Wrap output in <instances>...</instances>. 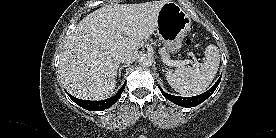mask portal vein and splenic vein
<instances>
[{"instance_id":"1","label":"portal vein and splenic vein","mask_w":276,"mask_h":138,"mask_svg":"<svg viewBox=\"0 0 276 138\" xmlns=\"http://www.w3.org/2000/svg\"><path fill=\"white\" fill-rule=\"evenodd\" d=\"M162 61H163L166 65H168V66H183V65L192 63L191 60L173 61V60L165 59L164 57L162 58ZM194 65H195L196 67H198V66H199V62H198L197 60H194Z\"/></svg>"}]
</instances>
